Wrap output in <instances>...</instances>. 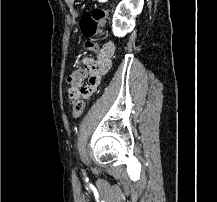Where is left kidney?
<instances>
[{
	"mask_svg": "<svg viewBox=\"0 0 217 202\" xmlns=\"http://www.w3.org/2000/svg\"><path fill=\"white\" fill-rule=\"evenodd\" d=\"M143 0H122L112 18V32L117 38H124L135 28L136 18L143 8Z\"/></svg>",
	"mask_w": 217,
	"mask_h": 202,
	"instance_id": "obj_1",
	"label": "left kidney"
}]
</instances>
